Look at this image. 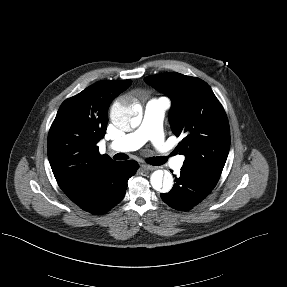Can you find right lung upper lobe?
Masks as SVG:
<instances>
[{"label": "right lung upper lobe", "instance_id": "right-lung-upper-lobe-1", "mask_svg": "<svg viewBox=\"0 0 287 287\" xmlns=\"http://www.w3.org/2000/svg\"><path fill=\"white\" fill-rule=\"evenodd\" d=\"M131 80L97 82L65 100L48 134V159L63 192L74 202L108 166L116 163L100 155L97 143L104 137L108 108Z\"/></svg>", "mask_w": 287, "mask_h": 287}]
</instances>
